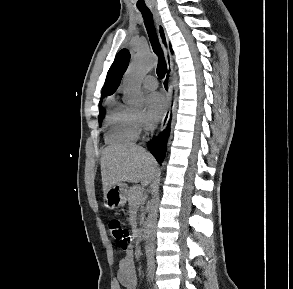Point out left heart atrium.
Returning <instances> with one entry per match:
<instances>
[{"mask_svg":"<svg viewBox=\"0 0 293 289\" xmlns=\"http://www.w3.org/2000/svg\"><path fill=\"white\" fill-rule=\"evenodd\" d=\"M147 117L152 122L161 120L167 110V101L159 92H152L146 97Z\"/></svg>","mask_w":293,"mask_h":289,"instance_id":"1","label":"left heart atrium"}]
</instances>
